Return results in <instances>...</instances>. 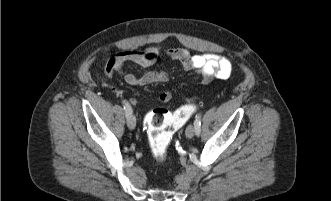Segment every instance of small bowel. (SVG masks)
I'll return each instance as SVG.
<instances>
[{
    "label": "small bowel",
    "mask_w": 331,
    "mask_h": 201,
    "mask_svg": "<svg viewBox=\"0 0 331 201\" xmlns=\"http://www.w3.org/2000/svg\"><path fill=\"white\" fill-rule=\"evenodd\" d=\"M170 59L180 62L186 71H190L202 77L204 83L213 79H227L232 73L230 60L216 53L192 54L187 49H172L167 52ZM160 53L155 48L146 50H128L118 53L107 64L106 73L122 74V68L126 63H134L142 67H149L157 62ZM124 79L131 86H144L164 82L168 79L167 70L151 71L136 76L132 73L124 74ZM170 99V94L164 92L160 96L162 102ZM132 102H136L134 99Z\"/></svg>",
    "instance_id": "1"
}]
</instances>
